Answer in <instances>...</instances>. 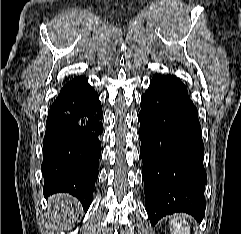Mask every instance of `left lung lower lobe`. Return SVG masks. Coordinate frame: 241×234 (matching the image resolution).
<instances>
[{
  "instance_id": "0a47b994",
  "label": "left lung lower lobe",
  "mask_w": 241,
  "mask_h": 234,
  "mask_svg": "<svg viewBox=\"0 0 241 234\" xmlns=\"http://www.w3.org/2000/svg\"><path fill=\"white\" fill-rule=\"evenodd\" d=\"M139 137L145 204L152 225L174 212L205 215L204 144L197 109L174 75H155L141 97Z\"/></svg>"
}]
</instances>
